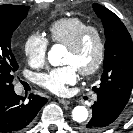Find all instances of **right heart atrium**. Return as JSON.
<instances>
[{"label":"right heart atrium","mask_w":133,"mask_h":133,"mask_svg":"<svg viewBox=\"0 0 133 133\" xmlns=\"http://www.w3.org/2000/svg\"><path fill=\"white\" fill-rule=\"evenodd\" d=\"M48 45V39L39 33L30 34L26 38L23 44V52L31 66L41 67L45 63Z\"/></svg>","instance_id":"right-heart-atrium-1"}]
</instances>
